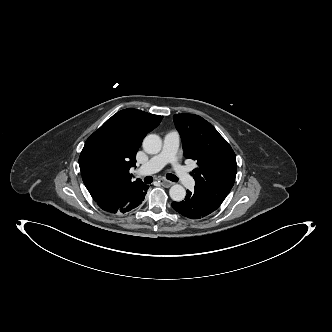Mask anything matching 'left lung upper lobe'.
Instances as JSON below:
<instances>
[{"instance_id":"5c2ea615","label":"left lung upper lobe","mask_w":332,"mask_h":332,"mask_svg":"<svg viewBox=\"0 0 332 332\" xmlns=\"http://www.w3.org/2000/svg\"><path fill=\"white\" fill-rule=\"evenodd\" d=\"M184 156L197 162L192 172L195 191L221 205L233 187L236 156L231 146L205 119L194 114H175Z\"/></svg>"}]
</instances>
